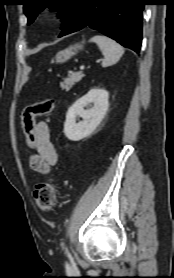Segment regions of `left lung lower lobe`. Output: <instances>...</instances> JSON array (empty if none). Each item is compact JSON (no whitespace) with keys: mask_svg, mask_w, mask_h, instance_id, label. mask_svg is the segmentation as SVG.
Returning a JSON list of instances; mask_svg holds the SVG:
<instances>
[{"mask_svg":"<svg viewBox=\"0 0 174 278\" xmlns=\"http://www.w3.org/2000/svg\"><path fill=\"white\" fill-rule=\"evenodd\" d=\"M144 5L145 0H82L74 18L59 37L88 27L138 53Z\"/></svg>","mask_w":174,"mask_h":278,"instance_id":"1","label":"left lung lower lobe"}]
</instances>
